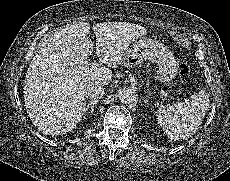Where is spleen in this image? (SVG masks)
<instances>
[{
    "mask_svg": "<svg viewBox=\"0 0 230 181\" xmlns=\"http://www.w3.org/2000/svg\"><path fill=\"white\" fill-rule=\"evenodd\" d=\"M208 101V95L201 91L183 102L159 107L156 116L169 139H188L196 133L204 118Z\"/></svg>",
    "mask_w": 230,
    "mask_h": 181,
    "instance_id": "spleen-1",
    "label": "spleen"
}]
</instances>
